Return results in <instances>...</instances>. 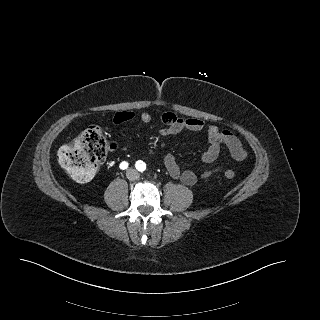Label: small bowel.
I'll return each mask as SVG.
<instances>
[{
  "label": "small bowel",
  "mask_w": 320,
  "mask_h": 320,
  "mask_svg": "<svg viewBox=\"0 0 320 320\" xmlns=\"http://www.w3.org/2000/svg\"><path fill=\"white\" fill-rule=\"evenodd\" d=\"M134 118L135 114L131 111H119L114 115L113 122L115 124H124ZM139 118L143 123L151 121V116L146 112L141 113ZM161 120L164 126L158 130V135L162 137L176 135L184 130L206 132L209 145L202 155V161L206 164L216 161L222 146L226 147L230 155L237 161H241L246 157V150L241 141L229 130L220 129L214 124H207L197 118H182L172 112H163ZM163 164L173 178L188 186L194 185L199 180L208 179L221 172L224 168V166H217L201 173H197L192 169H182L172 154L164 156Z\"/></svg>",
  "instance_id": "c3829d8e"
}]
</instances>
